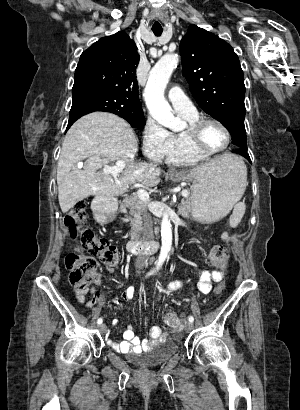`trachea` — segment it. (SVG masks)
<instances>
[{"label": "trachea", "instance_id": "obj_1", "mask_svg": "<svg viewBox=\"0 0 300 410\" xmlns=\"http://www.w3.org/2000/svg\"><path fill=\"white\" fill-rule=\"evenodd\" d=\"M152 31L156 36H161L162 34V29H152Z\"/></svg>", "mask_w": 300, "mask_h": 410}]
</instances>
